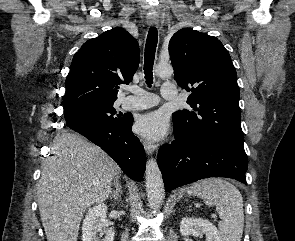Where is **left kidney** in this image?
I'll return each mask as SVG.
<instances>
[{
	"mask_svg": "<svg viewBox=\"0 0 295 241\" xmlns=\"http://www.w3.org/2000/svg\"><path fill=\"white\" fill-rule=\"evenodd\" d=\"M182 236L188 237L206 235V241H222L219 232L214 224L201 218L184 217L180 222Z\"/></svg>",
	"mask_w": 295,
	"mask_h": 241,
	"instance_id": "obj_1",
	"label": "left kidney"
}]
</instances>
